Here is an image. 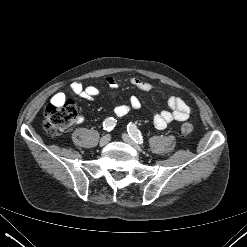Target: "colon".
<instances>
[{
  "mask_svg": "<svg viewBox=\"0 0 247 247\" xmlns=\"http://www.w3.org/2000/svg\"><path fill=\"white\" fill-rule=\"evenodd\" d=\"M77 117L76 106L73 102L50 103L44 112V128L53 136L60 135L69 127ZM193 131V125L185 122L181 125L182 135H189Z\"/></svg>",
  "mask_w": 247,
  "mask_h": 247,
  "instance_id": "colon-1",
  "label": "colon"
}]
</instances>
